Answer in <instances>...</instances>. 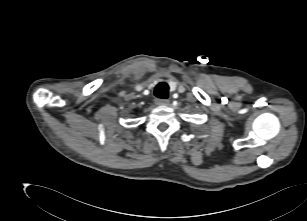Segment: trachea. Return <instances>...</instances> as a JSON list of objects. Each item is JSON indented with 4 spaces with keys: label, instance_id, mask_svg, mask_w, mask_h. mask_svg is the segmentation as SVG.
I'll return each mask as SVG.
<instances>
[{
    "label": "trachea",
    "instance_id": "trachea-1",
    "mask_svg": "<svg viewBox=\"0 0 307 221\" xmlns=\"http://www.w3.org/2000/svg\"><path fill=\"white\" fill-rule=\"evenodd\" d=\"M169 92V86L165 82L159 83L154 90V95L161 99H167Z\"/></svg>",
    "mask_w": 307,
    "mask_h": 221
}]
</instances>
